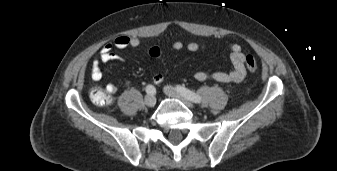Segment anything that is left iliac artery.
<instances>
[{
  "label": "left iliac artery",
  "mask_w": 337,
  "mask_h": 171,
  "mask_svg": "<svg viewBox=\"0 0 337 171\" xmlns=\"http://www.w3.org/2000/svg\"><path fill=\"white\" fill-rule=\"evenodd\" d=\"M177 90L192 102L200 103L201 97L183 86H177Z\"/></svg>",
  "instance_id": "obj_1"
}]
</instances>
